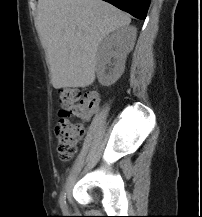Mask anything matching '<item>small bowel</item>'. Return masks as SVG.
<instances>
[{
  "label": "small bowel",
  "instance_id": "1",
  "mask_svg": "<svg viewBox=\"0 0 202 217\" xmlns=\"http://www.w3.org/2000/svg\"><path fill=\"white\" fill-rule=\"evenodd\" d=\"M90 101L85 105L77 106L73 109V116L80 118L82 121H88L98 111L99 98L97 94L91 93Z\"/></svg>",
  "mask_w": 202,
  "mask_h": 217
}]
</instances>
